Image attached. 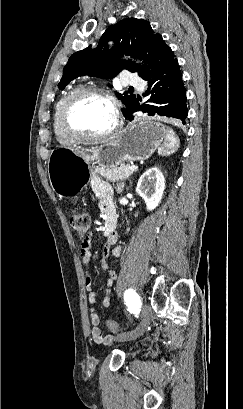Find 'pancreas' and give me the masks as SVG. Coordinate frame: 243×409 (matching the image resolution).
<instances>
[{"label":"pancreas","mask_w":243,"mask_h":409,"mask_svg":"<svg viewBox=\"0 0 243 409\" xmlns=\"http://www.w3.org/2000/svg\"><path fill=\"white\" fill-rule=\"evenodd\" d=\"M128 167L129 165L113 168L101 167L96 168L94 172L104 177L107 181L118 182L127 179L135 172V170H131Z\"/></svg>","instance_id":"obj_1"}]
</instances>
